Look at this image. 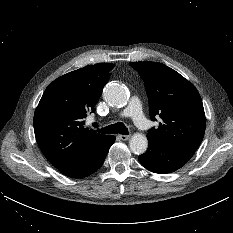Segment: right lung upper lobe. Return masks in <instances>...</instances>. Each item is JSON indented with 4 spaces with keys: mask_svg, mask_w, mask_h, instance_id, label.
<instances>
[{
    "mask_svg": "<svg viewBox=\"0 0 233 233\" xmlns=\"http://www.w3.org/2000/svg\"><path fill=\"white\" fill-rule=\"evenodd\" d=\"M113 68L111 63L89 65L59 77L44 91L34 114V132L42 153L57 169L83 160L110 138L82 125Z\"/></svg>",
    "mask_w": 233,
    "mask_h": 233,
    "instance_id": "right-lung-upper-lobe-1",
    "label": "right lung upper lobe"
}]
</instances>
